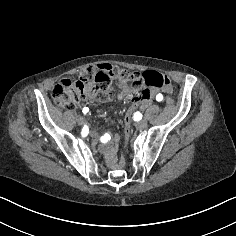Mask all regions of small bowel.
Listing matches in <instances>:
<instances>
[{
	"instance_id": "c3829d8e",
	"label": "small bowel",
	"mask_w": 236,
	"mask_h": 236,
	"mask_svg": "<svg viewBox=\"0 0 236 236\" xmlns=\"http://www.w3.org/2000/svg\"><path fill=\"white\" fill-rule=\"evenodd\" d=\"M141 88V84H127L121 83V90L118 93V99L123 100L132 94H136L139 92ZM166 91H169L170 88H166ZM104 100L107 102L111 101V95L105 94ZM143 107H148L151 104V93L149 92L148 96L144 98L141 102ZM78 121L80 124H84L85 121L83 118L79 117ZM100 141V151L104 156L105 162L107 166L112 170H119L124 165L123 159L117 158V146L119 142L118 134L104 133L99 138Z\"/></svg>"
}]
</instances>
